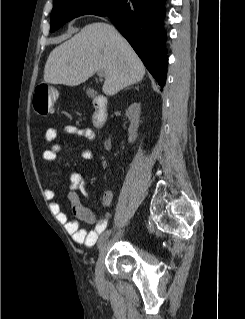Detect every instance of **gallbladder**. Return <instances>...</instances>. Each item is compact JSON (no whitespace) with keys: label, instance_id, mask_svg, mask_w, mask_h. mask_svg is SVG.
Returning <instances> with one entry per match:
<instances>
[{"label":"gallbladder","instance_id":"obj_1","mask_svg":"<svg viewBox=\"0 0 245 319\" xmlns=\"http://www.w3.org/2000/svg\"><path fill=\"white\" fill-rule=\"evenodd\" d=\"M87 94L90 95V96H94L96 94V92L94 90H92L91 88H89L87 90Z\"/></svg>","mask_w":245,"mask_h":319}]
</instances>
